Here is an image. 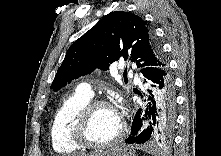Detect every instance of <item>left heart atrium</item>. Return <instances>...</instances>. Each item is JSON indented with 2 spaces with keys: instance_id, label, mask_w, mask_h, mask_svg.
Wrapping results in <instances>:
<instances>
[{
  "instance_id": "1",
  "label": "left heart atrium",
  "mask_w": 221,
  "mask_h": 156,
  "mask_svg": "<svg viewBox=\"0 0 221 156\" xmlns=\"http://www.w3.org/2000/svg\"><path fill=\"white\" fill-rule=\"evenodd\" d=\"M116 117L120 120V112L117 109H113Z\"/></svg>"
}]
</instances>
